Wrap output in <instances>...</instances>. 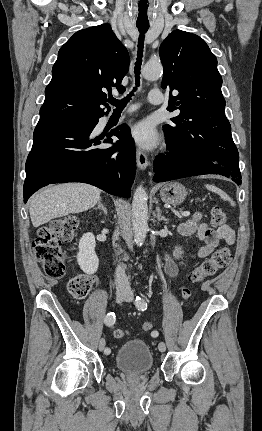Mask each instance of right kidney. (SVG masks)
<instances>
[{
	"mask_svg": "<svg viewBox=\"0 0 262 431\" xmlns=\"http://www.w3.org/2000/svg\"><path fill=\"white\" fill-rule=\"evenodd\" d=\"M95 246V237L92 233H86L80 239L77 262L80 268L87 274H94L99 266Z\"/></svg>",
	"mask_w": 262,
	"mask_h": 431,
	"instance_id": "1",
	"label": "right kidney"
}]
</instances>
